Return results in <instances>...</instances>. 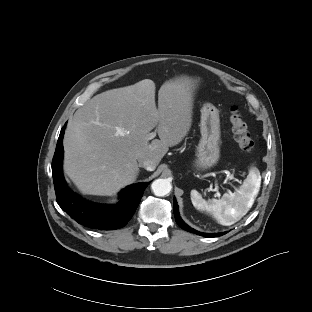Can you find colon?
<instances>
[{
  "label": "colon",
  "mask_w": 312,
  "mask_h": 312,
  "mask_svg": "<svg viewBox=\"0 0 312 312\" xmlns=\"http://www.w3.org/2000/svg\"><path fill=\"white\" fill-rule=\"evenodd\" d=\"M230 124L238 147L242 151L251 152L254 148V141L243 115L237 106H232L230 109Z\"/></svg>",
  "instance_id": "5ec220e1"
}]
</instances>
